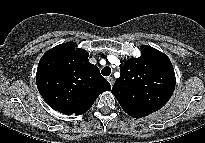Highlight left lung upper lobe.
<instances>
[{
    "mask_svg": "<svg viewBox=\"0 0 205 143\" xmlns=\"http://www.w3.org/2000/svg\"><path fill=\"white\" fill-rule=\"evenodd\" d=\"M175 83L169 58L155 48L143 46L139 58H131L121 67L112 93L126 113L141 118L168 102Z\"/></svg>",
    "mask_w": 205,
    "mask_h": 143,
    "instance_id": "left-lung-upper-lobe-1",
    "label": "left lung upper lobe"
}]
</instances>
